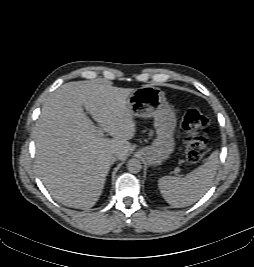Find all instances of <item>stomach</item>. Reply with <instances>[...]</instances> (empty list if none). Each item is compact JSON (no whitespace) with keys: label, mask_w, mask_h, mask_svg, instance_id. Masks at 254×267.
<instances>
[{"label":"stomach","mask_w":254,"mask_h":267,"mask_svg":"<svg viewBox=\"0 0 254 267\" xmlns=\"http://www.w3.org/2000/svg\"><path fill=\"white\" fill-rule=\"evenodd\" d=\"M128 105L133 116L154 118L156 138L150 146L140 148L139 152L150 164L167 161L175 149L174 133L177 118L164 92L150 85L142 86L129 95Z\"/></svg>","instance_id":"1"}]
</instances>
